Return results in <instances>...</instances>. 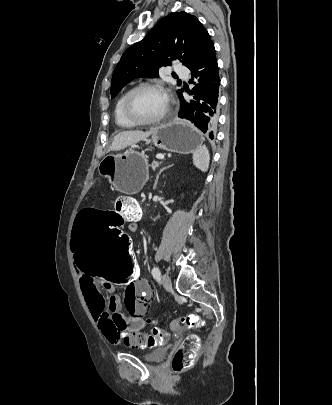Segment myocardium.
<instances>
[{"instance_id": "obj_1", "label": "myocardium", "mask_w": 332, "mask_h": 405, "mask_svg": "<svg viewBox=\"0 0 332 405\" xmlns=\"http://www.w3.org/2000/svg\"><path fill=\"white\" fill-rule=\"evenodd\" d=\"M145 89H153V90L160 91L165 95V97L167 99V108H166L165 112L156 118L147 119V120L139 119V118L135 117L130 109V103H131L132 98L139 91L145 90ZM122 113L127 120H129L130 122H132L135 125L156 124V123H159V122L165 120L170 115L171 103H170V99L168 98L164 88L161 85H159L157 83L146 82V83H142L128 91V93L126 94V96L124 97L123 102H122Z\"/></svg>"}]
</instances>
